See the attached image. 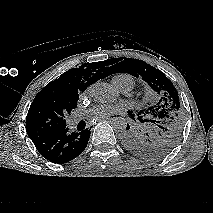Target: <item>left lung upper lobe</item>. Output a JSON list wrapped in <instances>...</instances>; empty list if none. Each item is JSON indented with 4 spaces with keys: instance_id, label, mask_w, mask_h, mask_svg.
<instances>
[{
    "instance_id": "obj_1",
    "label": "left lung upper lobe",
    "mask_w": 213,
    "mask_h": 213,
    "mask_svg": "<svg viewBox=\"0 0 213 213\" xmlns=\"http://www.w3.org/2000/svg\"><path fill=\"white\" fill-rule=\"evenodd\" d=\"M102 68L107 76L125 72L141 77L159 96L154 105L136 114L138 129H131L127 124L122 138L125 147L146 159L161 158L171 152L180 140L184 125V111L173 83L163 72L138 59H108L102 62ZM128 113L134 118L133 111Z\"/></svg>"
}]
</instances>
